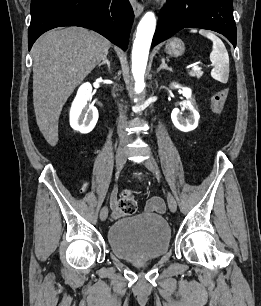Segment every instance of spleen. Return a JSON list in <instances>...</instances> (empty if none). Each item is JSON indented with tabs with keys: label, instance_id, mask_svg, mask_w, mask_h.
<instances>
[{
	"label": "spleen",
	"instance_id": "spleen-1",
	"mask_svg": "<svg viewBox=\"0 0 261 306\" xmlns=\"http://www.w3.org/2000/svg\"><path fill=\"white\" fill-rule=\"evenodd\" d=\"M191 32L196 33L197 30L193 29ZM199 33L210 39L213 43L210 61L214 68L211 71V76L221 83H226L229 78V56L225 45L220 38L210 31L200 30Z\"/></svg>",
	"mask_w": 261,
	"mask_h": 306
}]
</instances>
